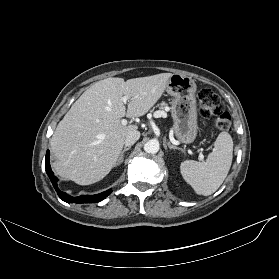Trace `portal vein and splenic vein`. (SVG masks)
Segmentation results:
<instances>
[{
  "label": "portal vein and splenic vein",
  "mask_w": 279,
  "mask_h": 279,
  "mask_svg": "<svg viewBox=\"0 0 279 279\" xmlns=\"http://www.w3.org/2000/svg\"><path fill=\"white\" fill-rule=\"evenodd\" d=\"M128 99H129V97L123 96V97H122L123 103L126 104ZM163 114H165V113H164V112L157 111V112H155L154 116H155L156 118H159V117L163 116ZM121 123H122V125H127L128 121H127L126 119H122V120H121ZM199 158H200L201 160H203L204 156H203L202 154H200V155H199Z\"/></svg>",
  "instance_id": "1"
}]
</instances>
